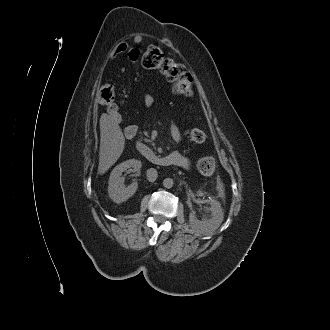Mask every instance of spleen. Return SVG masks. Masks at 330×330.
Masks as SVG:
<instances>
[{
  "label": "spleen",
  "mask_w": 330,
  "mask_h": 330,
  "mask_svg": "<svg viewBox=\"0 0 330 330\" xmlns=\"http://www.w3.org/2000/svg\"><path fill=\"white\" fill-rule=\"evenodd\" d=\"M217 190L219 191V195L221 197L224 196V187H223V184L220 182V179H218V182H217Z\"/></svg>",
  "instance_id": "1"
}]
</instances>
